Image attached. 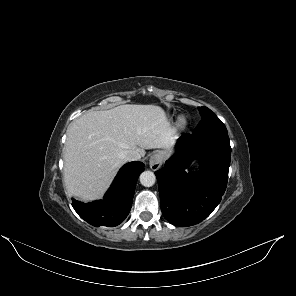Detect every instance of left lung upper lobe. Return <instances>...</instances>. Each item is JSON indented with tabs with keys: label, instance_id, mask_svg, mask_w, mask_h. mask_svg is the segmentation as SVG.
<instances>
[{
	"label": "left lung upper lobe",
	"instance_id": "1",
	"mask_svg": "<svg viewBox=\"0 0 296 296\" xmlns=\"http://www.w3.org/2000/svg\"><path fill=\"white\" fill-rule=\"evenodd\" d=\"M202 120L193 130L192 134H202L208 132H227L224 123L217 118L214 112L207 107H198Z\"/></svg>",
	"mask_w": 296,
	"mask_h": 296
}]
</instances>
